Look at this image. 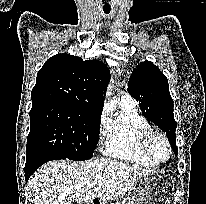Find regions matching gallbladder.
Returning <instances> with one entry per match:
<instances>
[{
  "label": "gallbladder",
  "mask_w": 206,
  "mask_h": 204,
  "mask_svg": "<svg viewBox=\"0 0 206 204\" xmlns=\"http://www.w3.org/2000/svg\"><path fill=\"white\" fill-rule=\"evenodd\" d=\"M66 204H73L72 200H68Z\"/></svg>",
  "instance_id": "1"
}]
</instances>
